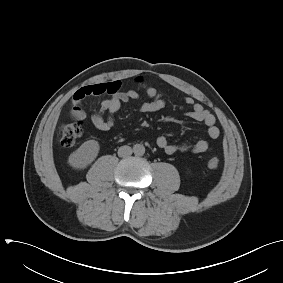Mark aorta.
<instances>
[{
    "instance_id": "762f6f07",
    "label": "aorta",
    "mask_w": 283,
    "mask_h": 283,
    "mask_svg": "<svg viewBox=\"0 0 283 283\" xmlns=\"http://www.w3.org/2000/svg\"><path fill=\"white\" fill-rule=\"evenodd\" d=\"M133 152L135 155L142 156L145 153V147L141 144H136L133 147Z\"/></svg>"
}]
</instances>
